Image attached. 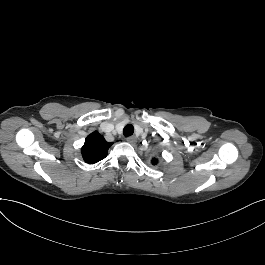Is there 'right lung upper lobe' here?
I'll use <instances>...</instances> for the list:
<instances>
[{
    "mask_svg": "<svg viewBox=\"0 0 265 265\" xmlns=\"http://www.w3.org/2000/svg\"><path fill=\"white\" fill-rule=\"evenodd\" d=\"M113 143L107 142L97 131L88 135L82 147V156L86 163L94 164L107 156V151Z\"/></svg>",
    "mask_w": 265,
    "mask_h": 265,
    "instance_id": "cb5924a9",
    "label": "right lung upper lobe"
}]
</instances>
